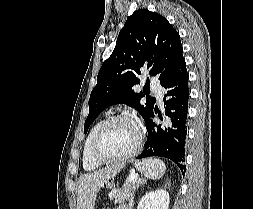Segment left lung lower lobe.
I'll return each mask as SVG.
<instances>
[{
    "mask_svg": "<svg viewBox=\"0 0 253 209\" xmlns=\"http://www.w3.org/2000/svg\"><path fill=\"white\" fill-rule=\"evenodd\" d=\"M188 78L186 63L182 59L161 83L166 90L165 118L155 109V113L163 123L158 124L153 120L146 123L147 141L143 152L137 157V159L151 156L168 158L177 164L183 174L186 171L183 162L187 136Z\"/></svg>",
    "mask_w": 253,
    "mask_h": 209,
    "instance_id": "obj_1",
    "label": "left lung lower lobe"
}]
</instances>
